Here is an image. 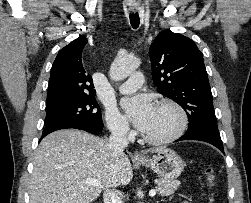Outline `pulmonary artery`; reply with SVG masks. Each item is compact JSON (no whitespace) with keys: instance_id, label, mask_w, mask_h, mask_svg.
Listing matches in <instances>:
<instances>
[{"instance_id":"e3ab8cb5","label":"pulmonary artery","mask_w":251,"mask_h":203,"mask_svg":"<svg viewBox=\"0 0 251 203\" xmlns=\"http://www.w3.org/2000/svg\"><path fill=\"white\" fill-rule=\"evenodd\" d=\"M144 82V77L141 72H135L131 76L119 85L118 90L121 93H130L137 90Z\"/></svg>"}]
</instances>
